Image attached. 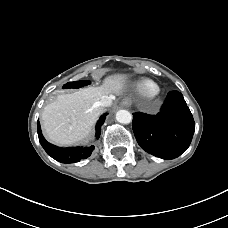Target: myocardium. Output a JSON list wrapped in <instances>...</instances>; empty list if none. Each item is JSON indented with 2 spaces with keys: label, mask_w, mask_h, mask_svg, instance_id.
Here are the masks:
<instances>
[{
  "label": "myocardium",
  "mask_w": 228,
  "mask_h": 228,
  "mask_svg": "<svg viewBox=\"0 0 228 228\" xmlns=\"http://www.w3.org/2000/svg\"><path fill=\"white\" fill-rule=\"evenodd\" d=\"M159 94V92L157 91L153 96H157Z\"/></svg>",
  "instance_id": "myocardium-1"
}]
</instances>
